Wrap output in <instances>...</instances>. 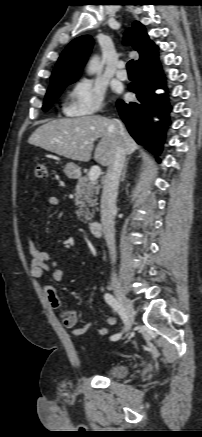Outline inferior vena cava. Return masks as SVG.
I'll list each match as a JSON object with an SVG mask.
<instances>
[{"instance_id":"inferior-vena-cava-1","label":"inferior vena cava","mask_w":202,"mask_h":437,"mask_svg":"<svg viewBox=\"0 0 202 437\" xmlns=\"http://www.w3.org/2000/svg\"><path fill=\"white\" fill-rule=\"evenodd\" d=\"M126 161V153L121 143L115 147L114 157L108 166L104 178L103 191L101 196V223L105 241L109 248L112 263L116 262L115 246V214L116 198L119 187L120 175ZM116 274L112 273V280L115 281Z\"/></svg>"}]
</instances>
